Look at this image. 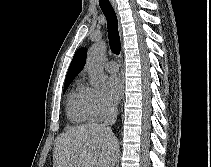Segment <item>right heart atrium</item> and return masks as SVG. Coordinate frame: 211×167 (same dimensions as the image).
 I'll return each mask as SVG.
<instances>
[{
    "label": "right heart atrium",
    "mask_w": 211,
    "mask_h": 167,
    "mask_svg": "<svg viewBox=\"0 0 211 167\" xmlns=\"http://www.w3.org/2000/svg\"><path fill=\"white\" fill-rule=\"evenodd\" d=\"M84 93L87 108L93 120H102L114 111L113 106L97 88L85 86Z\"/></svg>",
    "instance_id": "d8ad5b80"
}]
</instances>
